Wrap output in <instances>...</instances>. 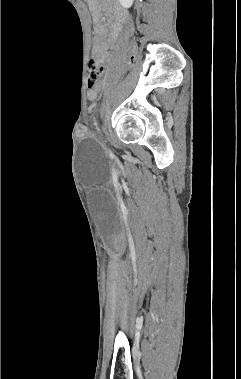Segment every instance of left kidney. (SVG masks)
Segmentation results:
<instances>
[{
	"label": "left kidney",
	"mask_w": 241,
	"mask_h": 379,
	"mask_svg": "<svg viewBox=\"0 0 241 379\" xmlns=\"http://www.w3.org/2000/svg\"><path fill=\"white\" fill-rule=\"evenodd\" d=\"M134 0H119L120 4L124 8H129L132 6Z\"/></svg>",
	"instance_id": "5707ae66"
}]
</instances>
